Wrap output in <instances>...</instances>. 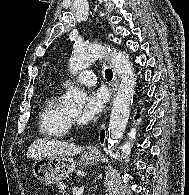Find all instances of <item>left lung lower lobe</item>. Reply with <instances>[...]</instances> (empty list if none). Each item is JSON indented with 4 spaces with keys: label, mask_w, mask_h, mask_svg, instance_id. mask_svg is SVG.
I'll return each mask as SVG.
<instances>
[{
    "label": "left lung lower lobe",
    "mask_w": 189,
    "mask_h": 195,
    "mask_svg": "<svg viewBox=\"0 0 189 195\" xmlns=\"http://www.w3.org/2000/svg\"><path fill=\"white\" fill-rule=\"evenodd\" d=\"M100 139H101V142H103V140H104V133L103 132L101 133Z\"/></svg>",
    "instance_id": "obj_1"
}]
</instances>
